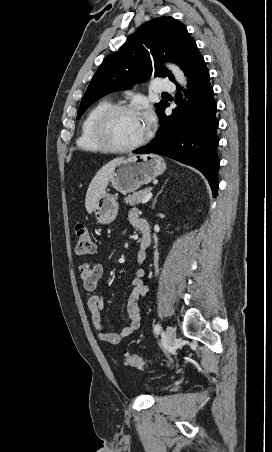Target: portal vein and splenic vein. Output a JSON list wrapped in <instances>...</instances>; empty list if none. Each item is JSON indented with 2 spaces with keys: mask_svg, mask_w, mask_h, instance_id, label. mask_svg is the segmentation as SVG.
<instances>
[{
  "mask_svg": "<svg viewBox=\"0 0 272 452\" xmlns=\"http://www.w3.org/2000/svg\"><path fill=\"white\" fill-rule=\"evenodd\" d=\"M151 198H152V193L150 192L144 197V199L142 200L141 203H143V204L147 203Z\"/></svg>",
  "mask_w": 272,
  "mask_h": 452,
  "instance_id": "obj_1",
  "label": "portal vein and splenic vein"
}]
</instances>
